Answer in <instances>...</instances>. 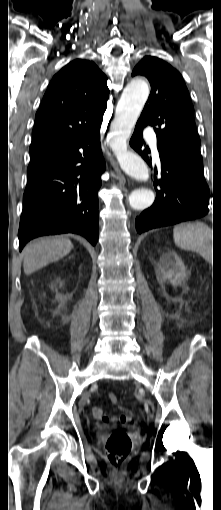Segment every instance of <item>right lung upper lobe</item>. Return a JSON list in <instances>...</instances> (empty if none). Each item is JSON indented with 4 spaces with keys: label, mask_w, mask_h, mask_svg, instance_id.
Returning <instances> with one entry per match:
<instances>
[{
    "label": "right lung upper lobe",
    "mask_w": 221,
    "mask_h": 510,
    "mask_svg": "<svg viewBox=\"0 0 221 510\" xmlns=\"http://www.w3.org/2000/svg\"><path fill=\"white\" fill-rule=\"evenodd\" d=\"M107 78L94 62L76 59L50 82L36 113L30 153L44 152L82 136L102 123Z\"/></svg>",
    "instance_id": "obj_1"
}]
</instances>
